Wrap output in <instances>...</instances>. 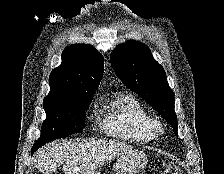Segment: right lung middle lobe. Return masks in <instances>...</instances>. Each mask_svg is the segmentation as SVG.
<instances>
[{
	"mask_svg": "<svg viewBox=\"0 0 224 174\" xmlns=\"http://www.w3.org/2000/svg\"><path fill=\"white\" fill-rule=\"evenodd\" d=\"M91 99L92 96H87L69 101H44L46 119L33 148L81 131L85 127L86 110Z\"/></svg>",
	"mask_w": 224,
	"mask_h": 174,
	"instance_id": "1",
	"label": "right lung middle lobe"
}]
</instances>
